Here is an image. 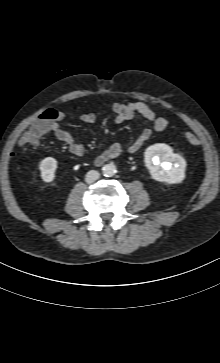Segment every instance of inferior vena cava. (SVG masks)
<instances>
[{
    "label": "inferior vena cava",
    "mask_w": 220,
    "mask_h": 363,
    "mask_svg": "<svg viewBox=\"0 0 220 363\" xmlns=\"http://www.w3.org/2000/svg\"><path fill=\"white\" fill-rule=\"evenodd\" d=\"M99 177H100V174H99L98 171L90 170L89 172H87L85 180H86L87 183L90 184V183H93L96 180H98Z\"/></svg>",
    "instance_id": "1"
}]
</instances>
